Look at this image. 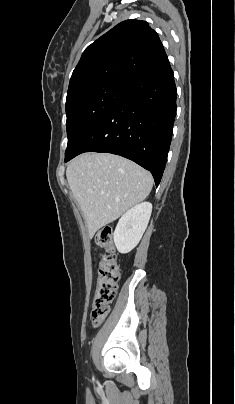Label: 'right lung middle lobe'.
<instances>
[{
  "instance_id": "obj_1",
  "label": "right lung middle lobe",
  "mask_w": 235,
  "mask_h": 404,
  "mask_svg": "<svg viewBox=\"0 0 235 404\" xmlns=\"http://www.w3.org/2000/svg\"><path fill=\"white\" fill-rule=\"evenodd\" d=\"M125 83L108 82L84 89L66 101L68 145L65 157L79 145L84 135L123 95Z\"/></svg>"
}]
</instances>
